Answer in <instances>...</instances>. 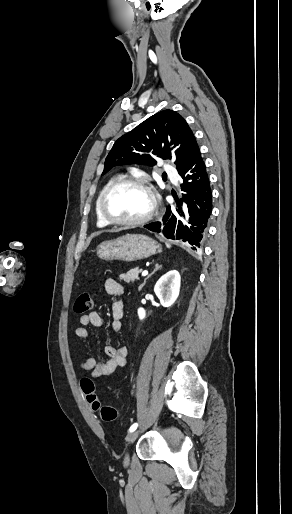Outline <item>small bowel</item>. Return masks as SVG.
I'll return each mask as SVG.
<instances>
[{
  "instance_id": "c3829d8e",
  "label": "small bowel",
  "mask_w": 292,
  "mask_h": 514,
  "mask_svg": "<svg viewBox=\"0 0 292 514\" xmlns=\"http://www.w3.org/2000/svg\"><path fill=\"white\" fill-rule=\"evenodd\" d=\"M105 291L111 296H118L123 293L122 285L114 278H107L104 282ZM124 315V304L121 301H115L112 304L113 321L111 329L114 333H119L123 329L122 318ZM82 326L76 327L73 334L76 338L88 340L91 338L90 332L86 326L99 328L103 325V319L99 312L92 311L80 317ZM108 360L100 361L94 356L79 363V368L89 372L91 378L111 377L118 368L126 364L128 348L125 345H108L105 348Z\"/></svg>"
}]
</instances>
